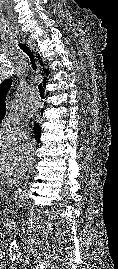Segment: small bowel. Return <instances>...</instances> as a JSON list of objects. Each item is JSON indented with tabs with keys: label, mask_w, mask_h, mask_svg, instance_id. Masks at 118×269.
Wrapping results in <instances>:
<instances>
[{
	"label": "small bowel",
	"mask_w": 118,
	"mask_h": 269,
	"mask_svg": "<svg viewBox=\"0 0 118 269\" xmlns=\"http://www.w3.org/2000/svg\"><path fill=\"white\" fill-rule=\"evenodd\" d=\"M2 268H7V265L4 261H2L0 264V269H2Z\"/></svg>",
	"instance_id": "obj_1"
}]
</instances>
